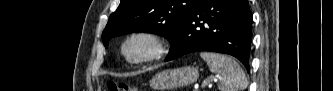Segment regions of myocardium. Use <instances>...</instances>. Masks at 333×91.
<instances>
[{
	"label": "myocardium",
	"instance_id": "obj_1",
	"mask_svg": "<svg viewBox=\"0 0 333 91\" xmlns=\"http://www.w3.org/2000/svg\"><path fill=\"white\" fill-rule=\"evenodd\" d=\"M142 41L146 49L143 54L132 57L127 53V47L134 41ZM169 51V42L167 38L160 32L139 29L130 32L125 36L120 45V54L122 58L131 65H141L150 63L164 57Z\"/></svg>",
	"mask_w": 333,
	"mask_h": 91
}]
</instances>
